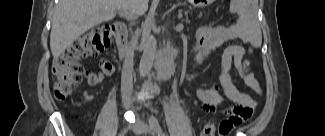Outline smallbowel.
I'll return each instance as SVG.
<instances>
[{"instance_id":"obj_1","label":"small bowel","mask_w":325,"mask_h":136,"mask_svg":"<svg viewBox=\"0 0 325 136\" xmlns=\"http://www.w3.org/2000/svg\"><path fill=\"white\" fill-rule=\"evenodd\" d=\"M195 39L203 52L196 58V64H201L207 52L220 47L224 43L238 40L242 43L254 42L257 35L253 27L247 21L238 16L237 22L231 26L221 28H201L195 33ZM244 49L241 45H229L223 52L222 65L219 76V85L209 89H198L197 96L203 103L206 111H215L225 101H231L234 105L223 111L225 119L220 124V135H227L235 127L246 122L253 115L255 100L239 91L232 82L230 71L234 65L241 74L245 84L257 94L262 93V88L254 75L243 68L242 60ZM98 72H88L86 81L90 86L100 84L106 77L114 74L115 67L107 59H100Z\"/></svg>"}]
</instances>
